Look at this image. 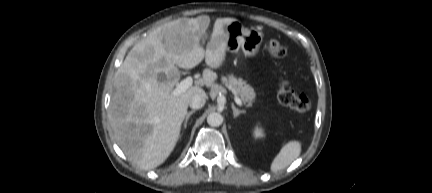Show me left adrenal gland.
<instances>
[{"instance_id": "obj_1", "label": "left adrenal gland", "mask_w": 432, "mask_h": 193, "mask_svg": "<svg viewBox=\"0 0 432 193\" xmlns=\"http://www.w3.org/2000/svg\"><path fill=\"white\" fill-rule=\"evenodd\" d=\"M232 110H233L234 118H237L240 114H244L245 113L244 110H239L238 108H236L234 106V104H232Z\"/></svg>"}]
</instances>
